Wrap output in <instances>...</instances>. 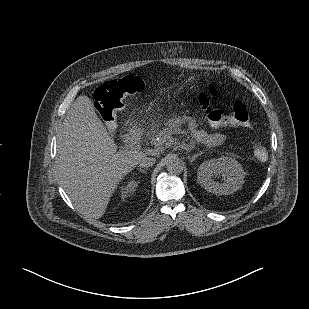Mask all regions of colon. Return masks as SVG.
I'll use <instances>...</instances> for the list:
<instances>
[{
	"mask_svg": "<svg viewBox=\"0 0 309 309\" xmlns=\"http://www.w3.org/2000/svg\"><path fill=\"white\" fill-rule=\"evenodd\" d=\"M144 86V81L140 77L126 75L107 81L96 90L95 101L108 129L115 127L117 115L125 107L126 99L141 92ZM217 101L218 92L213 85L198 96V104L210 125L213 127L250 125V113L243 102H235L231 110L226 111L218 106ZM254 155L258 160L265 161L268 158L266 147L261 144L255 145Z\"/></svg>",
	"mask_w": 309,
	"mask_h": 309,
	"instance_id": "obj_1",
	"label": "colon"
}]
</instances>
